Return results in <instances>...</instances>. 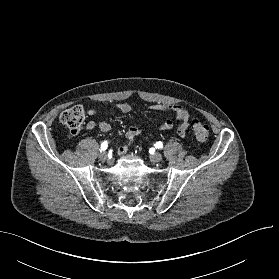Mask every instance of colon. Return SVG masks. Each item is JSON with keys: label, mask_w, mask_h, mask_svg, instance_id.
<instances>
[{"label": "colon", "mask_w": 279, "mask_h": 279, "mask_svg": "<svg viewBox=\"0 0 279 279\" xmlns=\"http://www.w3.org/2000/svg\"><path fill=\"white\" fill-rule=\"evenodd\" d=\"M60 121L72 134H77L85 121L84 109L81 106L70 107L61 113ZM192 131L200 142L206 141L209 136V127L199 120L192 122Z\"/></svg>", "instance_id": "obj_1"}]
</instances>
